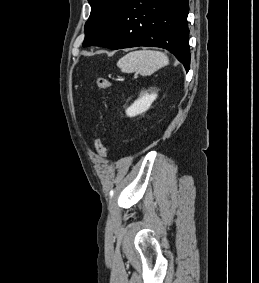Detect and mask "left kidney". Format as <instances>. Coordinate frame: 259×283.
Here are the masks:
<instances>
[{
  "instance_id": "left-kidney-1",
  "label": "left kidney",
  "mask_w": 259,
  "mask_h": 283,
  "mask_svg": "<svg viewBox=\"0 0 259 283\" xmlns=\"http://www.w3.org/2000/svg\"><path fill=\"white\" fill-rule=\"evenodd\" d=\"M157 94L152 92L141 93L139 99H137L129 108L126 110L128 117H135L143 112H146L151 104L156 100Z\"/></svg>"
}]
</instances>
